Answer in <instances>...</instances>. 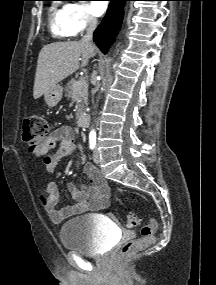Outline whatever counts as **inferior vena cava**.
<instances>
[{"label": "inferior vena cava", "mask_w": 216, "mask_h": 285, "mask_svg": "<svg viewBox=\"0 0 216 285\" xmlns=\"http://www.w3.org/2000/svg\"><path fill=\"white\" fill-rule=\"evenodd\" d=\"M96 26H97V19L93 16H89L87 20L86 35L82 37L81 41L91 44L93 32L96 29Z\"/></svg>", "instance_id": "1"}]
</instances>
